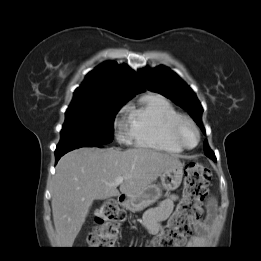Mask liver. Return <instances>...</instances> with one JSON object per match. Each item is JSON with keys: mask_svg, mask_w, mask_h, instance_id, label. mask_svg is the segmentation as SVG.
<instances>
[{"mask_svg": "<svg viewBox=\"0 0 261 261\" xmlns=\"http://www.w3.org/2000/svg\"><path fill=\"white\" fill-rule=\"evenodd\" d=\"M180 164L176 156L146 148H79L64 155L52 185V215L60 247H72L95 199L132 196Z\"/></svg>", "mask_w": 261, "mask_h": 261, "instance_id": "liver-1", "label": "liver"}]
</instances>
